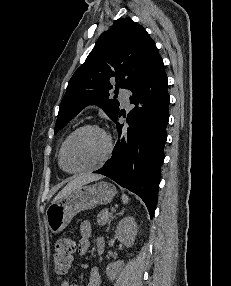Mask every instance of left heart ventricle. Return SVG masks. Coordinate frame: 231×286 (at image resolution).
<instances>
[{
    "mask_svg": "<svg viewBox=\"0 0 231 286\" xmlns=\"http://www.w3.org/2000/svg\"><path fill=\"white\" fill-rule=\"evenodd\" d=\"M106 150L104 136L95 130H83L68 142L63 164L68 170L84 167L102 157Z\"/></svg>",
    "mask_w": 231,
    "mask_h": 286,
    "instance_id": "obj_1",
    "label": "left heart ventricle"
}]
</instances>
